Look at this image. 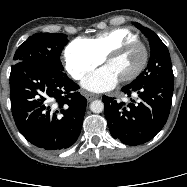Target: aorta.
Wrapping results in <instances>:
<instances>
[{"instance_id": "obj_1", "label": "aorta", "mask_w": 187, "mask_h": 187, "mask_svg": "<svg viewBox=\"0 0 187 187\" xmlns=\"http://www.w3.org/2000/svg\"><path fill=\"white\" fill-rule=\"evenodd\" d=\"M90 110L93 113H101L104 110V103L101 100H94L90 104Z\"/></svg>"}]
</instances>
